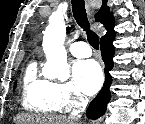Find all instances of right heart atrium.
<instances>
[{"mask_svg":"<svg viewBox=\"0 0 145 124\" xmlns=\"http://www.w3.org/2000/svg\"><path fill=\"white\" fill-rule=\"evenodd\" d=\"M52 98L59 111L70 112L86 103L74 82H52Z\"/></svg>","mask_w":145,"mask_h":124,"instance_id":"d8ad5b80","label":"right heart atrium"}]
</instances>
